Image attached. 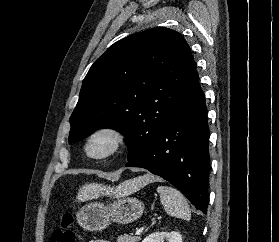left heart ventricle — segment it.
Here are the masks:
<instances>
[{
  "label": "left heart ventricle",
  "mask_w": 279,
  "mask_h": 242,
  "mask_svg": "<svg viewBox=\"0 0 279 242\" xmlns=\"http://www.w3.org/2000/svg\"><path fill=\"white\" fill-rule=\"evenodd\" d=\"M111 141L107 136H101L96 138L90 147V151L93 155H100L108 150Z\"/></svg>",
  "instance_id": "b2bd125f"
}]
</instances>
